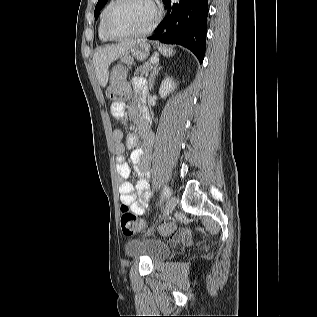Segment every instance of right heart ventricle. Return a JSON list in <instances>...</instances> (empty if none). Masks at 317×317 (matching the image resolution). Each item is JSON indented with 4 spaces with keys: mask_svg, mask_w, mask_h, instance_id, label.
Wrapping results in <instances>:
<instances>
[{
    "mask_svg": "<svg viewBox=\"0 0 317 317\" xmlns=\"http://www.w3.org/2000/svg\"><path fill=\"white\" fill-rule=\"evenodd\" d=\"M112 3H113V0L109 1L101 13L99 26H98V35H99V38L102 42L110 41V39L104 33V17H105L107 10L109 9V7L111 6Z\"/></svg>",
    "mask_w": 317,
    "mask_h": 317,
    "instance_id": "1",
    "label": "right heart ventricle"
}]
</instances>
